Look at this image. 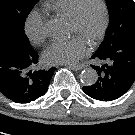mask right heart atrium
<instances>
[{
    "instance_id": "right-heart-atrium-1",
    "label": "right heart atrium",
    "mask_w": 135,
    "mask_h": 135,
    "mask_svg": "<svg viewBox=\"0 0 135 135\" xmlns=\"http://www.w3.org/2000/svg\"><path fill=\"white\" fill-rule=\"evenodd\" d=\"M24 29L27 37L34 44H42L47 38L46 20L38 10H32L28 14Z\"/></svg>"
}]
</instances>
